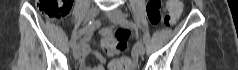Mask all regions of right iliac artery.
I'll return each mask as SVG.
<instances>
[{
    "mask_svg": "<svg viewBox=\"0 0 238 70\" xmlns=\"http://www.w3.org/2000/svg\"><path fill=\"white\" fill-rule=\"evenodd\" d=\"M99 26H100V22H98V21H90L88 25H86L85 27L81 28V29L78 31V33H77L75 39H74L73 42H72V47H75L76 41H77L78 38L81 37L84 33L88 32V31H90V30H94V29L98 28Z\"/></svg>",
    "mask_w": 238,
    "mask_h": 70,
    "instance_id": "obj_1",
    "label": "right iliac artery"
}]
</instances>
